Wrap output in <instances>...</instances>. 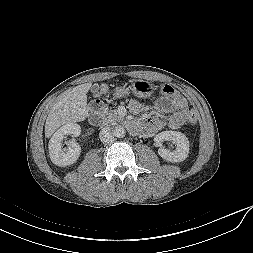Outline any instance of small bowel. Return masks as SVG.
Wrapping results in <instances>:
<instances>
[{
	"label": "small bowel",
	"mask_w": 253,
	"mask_h": 253,
	"mask_svg": "<svg viewBox=\"0 0 253 253\" xmlns=\"http://www.w3.org/2000/svg\"><path fill=\"white\" fill-rule=\"evenodd\" d=\"M129 107L134 114H140L145 110V106L137 100H132ZM155 109L168 114V118L161 120L154 117H142L133 124L137 128H144L148 133H155L164 128L178 129L186 122L190 114L186 99L179 94L160 99L155 103Z\"/></svg>",
	"instance_id": "c3829d8e"
}]
</instances>
